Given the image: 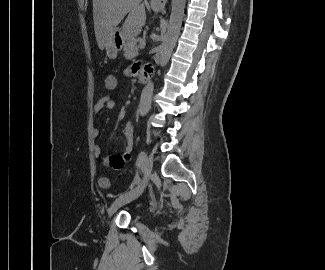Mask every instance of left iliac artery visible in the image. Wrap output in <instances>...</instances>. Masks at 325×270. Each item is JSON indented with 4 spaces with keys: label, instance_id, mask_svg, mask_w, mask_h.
Instances as JSON below:
<instances>
[{
    "label": "left iliac artery",
    "instance_id": "44dca946",
    "mask_svg": "<svg viewBox=\"0 0 325 270\" xmlns=\"http://www.w3.org/2000/svg\"><path fill=\"white\" fill-rule=\"evenodd\" d=\"M146 159V153L142 151L138 156V165L141 167L144 164V160Z\"/></svg>",
    "mask_w": 325,
    "mask_h": 270
}]
</instances>
